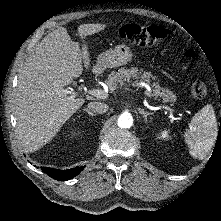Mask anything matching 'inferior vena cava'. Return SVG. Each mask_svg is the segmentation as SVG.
Here are the masks:
<instances>
[{
	"label": "inferior vena cava",
	"mask_w": 221,
	"mask_h": 221,
	"mask_svg": "<svg viewBox=\"0 0 221 221\" xmlns=\"http://www.w3.org/2000/svg\"><path fill=\"white\" fill-rule=\"evenodd\" d=\"M89 110L93 111L94 113L103 114L106 113L109 109L108 105L101 102H90L88 104Z\"/></svg>",
	"instance_id": "1"
}]
</instances>
